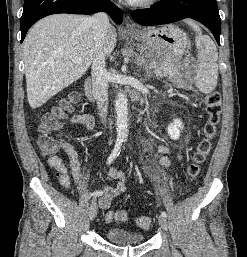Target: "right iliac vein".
I'll return each mask as SVG.
<instances>
[{
	"mask_svg": "<svg viewBox=\"0 0 247 257\" xmlns=\"http://www.w3.org/2000/svg\"><path fill=\"white\" fill-rule=\"evenodd\" d=\"M97 215V204L94 199H92L88 206V216L91 221L94 220V218Z\"/></svg>",
	"mask_w": 247,
	"mask_h": 257,
	"instance_id": "63e3f726",
	"label": "right iliac vein"
}]
</instances>
